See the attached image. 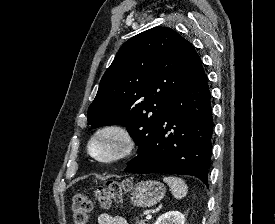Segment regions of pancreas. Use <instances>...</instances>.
I'll use <instances>...</instances> for the list:
<instances>
[{"label":"pancreas","mask_w":275,"mask_h":224,"mask_svg":"<svg viewBox=\"0 0 275 224\" xmlns=\"http://www.w3.org/2000/svg\"><path fill=\"white\" fill-rule=\"evenodd\" d=\"M135 224H146V220L135 218Z\"/></svg>","instance_id":"pancreas-1"}]
</instances>
